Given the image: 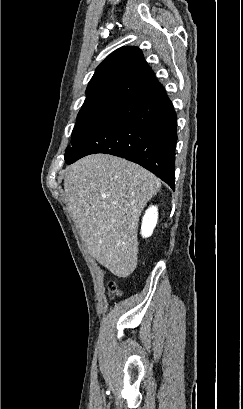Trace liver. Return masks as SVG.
Instances as JSON below:
<instances>
[{
    "label": "liver",
    "mask_w": 243,
    "mask_h": 409,
    "mask_svg": "<svg viewBox=\"0 0 243 409\" xmlns=\"http://www.w3.org/2000/svg\"><path fill=\"white\" fill-rule=\"evenodd\" d=\"M64 175L66 202L90 254L112 274L130 275L137 265L139 217L160 180L108 154L86 156Z\"/></svg>",
    "instance_id": "obj_1"
}]
</instances>
